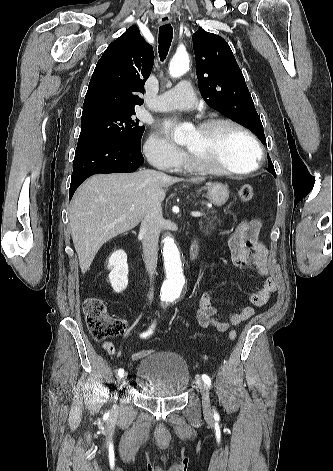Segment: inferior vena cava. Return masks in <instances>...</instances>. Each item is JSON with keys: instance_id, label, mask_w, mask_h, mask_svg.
<instances>
[{"instance_id": "obj_1", "label": "inferior vena cava", "mask_w": 333, "mask_h": 471, "mask_svg": "<svg viewBox=\"0 0 333 471\" xmlns=\"http://www.w3.org/2000/svg\"><path fill=\"white\" fill-rule=\"evenodd\" d=\"M162 208L161 204L148 208L141 223L140 233L143 236V255L146 270L151 278L156 273L158 260V239L161 231ZM149 300L153 298V288H150Z\"/></svg>"}]
</instances>
